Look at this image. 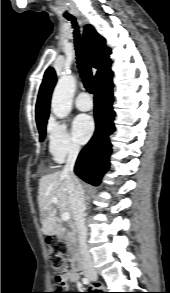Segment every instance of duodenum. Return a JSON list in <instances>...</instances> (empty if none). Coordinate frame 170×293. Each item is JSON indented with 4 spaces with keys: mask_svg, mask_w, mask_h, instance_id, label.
<instances>
[{
    "mask_svg": "<svg viewBox=\"0 0 170 293\" xmlns=\"http://www.w3.org/2000/svg\"><path fill=\"white\" fill-rule=\"evenodd\" d=\"M71 222L73 225L75 224L74 219H72ZM43 231L46 236L56 235L58 233V230H57L56 226H54V225L44 227ZM72 266L75 271H80L82 269V260H81V257L78 253H76L74 255V257L72 258Z\"/></svg>",
    "mask_w": 170,
    "mask_h": 293,
    "instance_id": "1",
    "label": "duodenum"
}]
</instances>
